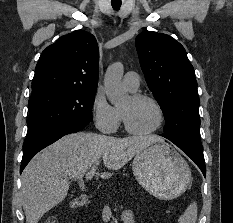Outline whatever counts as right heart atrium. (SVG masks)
I'll use <instances>...</instances> for the list:
<instances>
[{
	"label": "right heart atrium",
	"mask_w": 233,
	"mask_h": 223,
	"mask_svg": "<svg viewBox=\"0 0 233 223\" xmlns=\"http://www.w3.org/2000/svg\"><path fill=\"white\" fill-rule=\"evenodd\" d=\"M91 113L96 128L102 133H114L121 124L120 113L107 101L101 91L94 95Z\"/></svg>",
	"instance_id": "d8ad5b80"
}]
</instances>
